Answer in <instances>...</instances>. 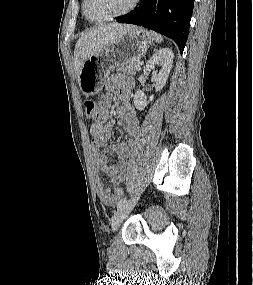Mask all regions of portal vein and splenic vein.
<instances>
[{
  "label": "portal vein and splenic vein",
  "mask_w": 253,
  "mask_h": 285,
  "mask_svg": "<svg viewBox=\"0 0 253 285\" xmlns=\"http://www.w3.org/2000/svg\"><path fill=\"white\" fill-rule=\"evenodd\" d=\"M140 69H141L140 64H138V65L136 66V70H140Z\"/></svg>",
  "instance_id": "18ae733b"
}]
</instances>
